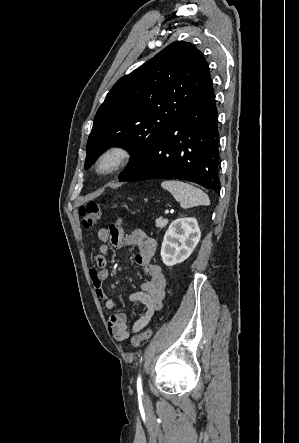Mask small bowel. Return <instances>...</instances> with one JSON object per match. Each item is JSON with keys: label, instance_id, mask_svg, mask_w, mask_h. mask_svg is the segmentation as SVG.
<instances>
[{"label": "small bowel", "instance_id": "c3829d8e", "mask_svg": "<svg viewBox=\"0 0 299 443\" xmlns=\"http://www.w3.org/2000/svg\"><path fill=\"white\" fill-rule=\"evenodd\" d=\"M98 238L101 244L94 259L96 268L91 270L90 277L97 296L104 302L107 310L111 311L116 307L115 301L107 295L103 288V282L109 277L107 255L112 247L118 249L137 247L139 252L136 255V262L149 277V280L142 284L141 290L132 293L129 297L132 303H140L146 307L144 315L134 322L131 330L128 328L126 314L116 312L109 317V334L116 341L121 342L126 340L131 333L142 330L149 323L152 316L162 308L166 291V277L161 267L152 263L157 242L154 238L147 236L144 231L136 229L126 234L122 221L117 219L114 223L99 229Z\"/></svg>", "mask_w": 299, "mask_h": 443}]
</instances>
